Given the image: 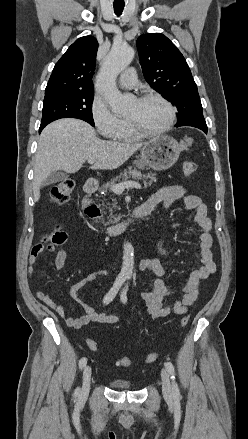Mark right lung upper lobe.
<instances>
[{"instance_id": "1", "label": "right lung upper lobe", "mask_w": 248, "mask_h": 439, "mask_svg": "<svg viewBox=\"0 0 248 439\" xmlns=\"http://www.w3.org/2000/svg\"><path fill=\"white\" fill-rule=\"evenodd\" d=\"M98 42L93 36L78 38L55 64L45 95L59 92L93 90Z\"/></svg>"}]
</instances>
